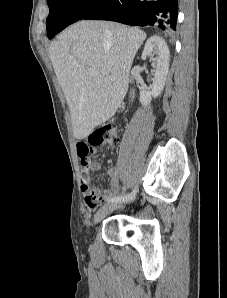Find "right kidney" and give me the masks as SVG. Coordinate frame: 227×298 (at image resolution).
Listing matches in <instances>:
<instances>
[{
    "mask_svg": "<svg viewBox=\"0 0 227 298\" xmlns=\"http://www.w3.org/2000/svg\"><path fill=\"white\" fill-rule=\"evenodd\" d=\"M149 57L156 67L151 91H140V102L143 106L150 104L152 98L158 97L164 89L169 70L170 53L167 43L159 36L150 37L144 47L142 59Z\"/></svg>",
    "mask_w": 227,
    "mask_h": 298,
    "instance_id": "obj_1",
    "label": "right kidney"
}]
</instances>
